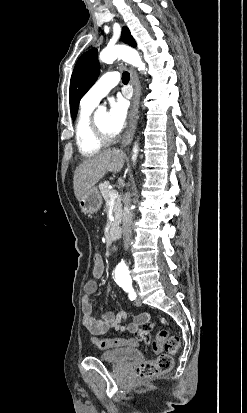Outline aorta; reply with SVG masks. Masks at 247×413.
<instances>
[{
	"mask_svg": "<svg viewBox=\"0 0 247 413\" xmlns=\"http://www.w3.org/2000/svg\"><path fill=\"white\" fill-rule=\"evenodd\" d=\"M117 58L122 59L123 61L135 66L138 70H146L145 64L143 63L138 52L126 45H116L112 47H106L103 49L99 55V59L104 63H112ZM134 155L132 159L135 161L136 154L138 152L137 146L134 147ZM119 273L122 278L128 276V269L124 265L119 266Z\"/></svg>",
	"mask_w": 247,
	"mask_h": 413,
	"instance_id": "aorta-1",
	"label": "aorta"
}]
</instances>
